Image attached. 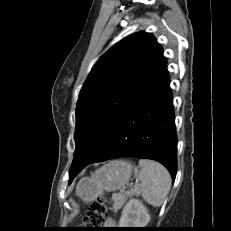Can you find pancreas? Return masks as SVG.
<instances>
[{"mask_svg":"<svg viewBox=\"0 0 231 231\" xmlns=\"http://www.w3.org/2000/svg\"><path fill=\"white\" fill-rule=\"evenodd\" d=\"M134 194H135V191H129V192H126L125 194H121V193L114 194L112 196L114 210L120 209L125 203V201L127 200V198L133 196Z\"/></svg>","mask_w":231,"mask_h":231,"instance_id":"obj_1","label":"pancreas"}]
</instances>
